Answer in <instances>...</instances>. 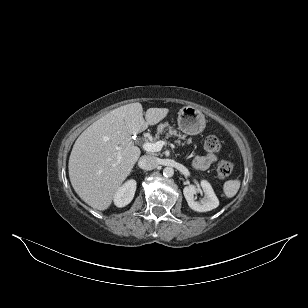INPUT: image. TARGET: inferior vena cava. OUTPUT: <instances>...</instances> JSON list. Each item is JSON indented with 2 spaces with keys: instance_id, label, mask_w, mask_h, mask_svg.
<instances>
[{
  "instance_id": "obj_1",
  "label": "inferior vena cava",
  "mask_w": 308,
  "mask_h": 308,
  "mask_svg": "<svg viewBox=\"0 0 308 308\" xmlns=\"http://www.w3.org/2000/svg\"><path fill=\"white\" fill-rule=\"evenodd\" d=\"M139 166L145 170H152L158 166V158L151 155H144L139 159Z\"/></svg>"
}]
</instances>
